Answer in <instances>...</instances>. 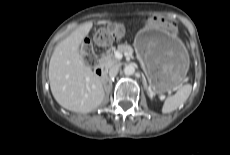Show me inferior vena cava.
Here are the masks:
<instances>
[{"mask_svg":"<svg viewBox=\"0 0 230 155\" xmlns=\"http://www.w3.org/2000/svg\"><path fill=\"white\" fill-rule=\"evenodd\" d=\"M119 71V66H113L110 70H109V77L113 78L117 75Z\"/></svg>","mask_w":230,"mask_h":155,"instance_id":"obj_1","label":"inferior vena cava"}]
</instances>
